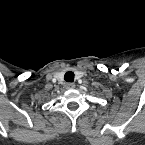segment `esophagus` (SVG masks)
I'll return each instance as SVG.
<instances>
[{"mask_svg": "<svg viewBox=\"0 0 145 145\" xmlns=\"http://www.w3.org/2000/svg\"><path fill=\"white\" fill-rule=\"evenodd\" d=\"M65 87H66V89H74V88H75V84L69 82V83H66V84H65Z\"/></svg>", "mask_w": 145, "mask_h": 145, "instance_id": "obj_1", "label": "esophagus"}]
</instances>
